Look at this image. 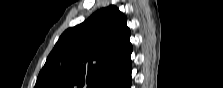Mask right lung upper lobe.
Returning <instances> with one entry per match:
<instances>
[{"instance_id": "obj_1", "label": "right lung upper lobe", "mask_w": 223, "mask_h": 88, "mask_svg": "<svg viewBox=\"0 0 223 88\" xmlns=\"http://www.w3.org/2000/svg\"><path fill=\"white\" fill-rule=\"evenodd\" d=\"M115 6L67 29L40 71L35 88H123L131 80L130 30Z\"/></svg>"}]
</instances>
